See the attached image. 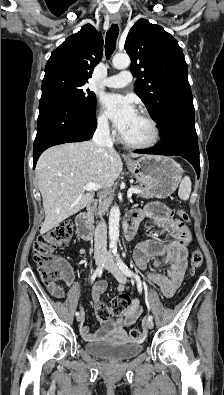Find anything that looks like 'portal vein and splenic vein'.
Instances as JSON below:
<instances>
[{
  "label": "portal vein and splenic vein",
  "instance_id": "portal-vein-and-splenic-vein-1",
  "mask_svg": "<svg viewBox=\"0 0 224 395\" xmlns=\"http://www.w3.org/2000/svg\"><path fill=\"white\" fill-rule=\"evenodd\" d=\"M84 190L86 191H97L98 189H100V185L96 184V183H88L83 187ZM139 194L140 190L135 189V188H130L127 192V197L131 198L132 194Z\"/></svg>",
  "mask_w": 224,
  "mask_h": 395
}]
</instances>
